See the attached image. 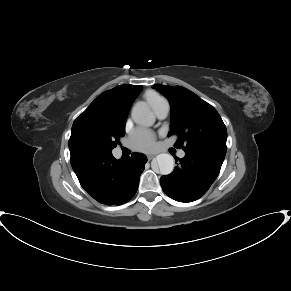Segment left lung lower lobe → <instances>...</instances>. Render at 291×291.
<instances>
[{
  "label": "left lung lower lobe",
  "mask_w": 291,
  "mask_h": 291,
  "mask_svg": "<svg viewBox=\"0 0 291 291\" xmlns=\"http://www.w3.org/2000/svg\"><path fill=\"white\" fill-rule=\"evenodd\" d=\"M225 156L202 151H185L175 158L180 164L160 179L166 195L179 202H192L203 196L217 178Z\"/></svg>",
  "instance_id": "1"
}]
</instances>
